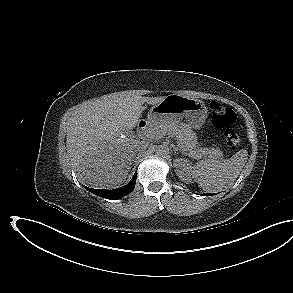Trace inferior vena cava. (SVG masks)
I'll list each match as a JSON object with an SVG mask.
<instances>
[{"mask_svg": "<svg viewBox=\"0 0 293 293\" xmlns=\"http://www.w3.org/2000/svg\"><path fill=\"white\" fill-rule=\"evenodd\" d=\"M148 147V143L146 141H137L134 145V151L135 152H142L145 151Z\"/></svg>", "mask_w": 293, "mask_h": 293, "instance_id": "1", "label": "inferior vena cava"}]
</instances>
